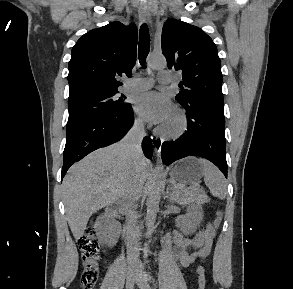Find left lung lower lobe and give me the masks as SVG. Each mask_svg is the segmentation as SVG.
<instances>
[{
  "instance_id": "1",
  "label": "left lung lower lobe",
  "mask_w": 293,
  "mask_h": 289,
  "mask_svg": "<svg viewBox=\"0 0 293 289\" xmlns=\"http://www.w3.org/2000/svg\"><path fill=\"white\" fill-rule=\"evenodd\" d=\"M188 129L180 138L162 144L166 165L186 156H199L214 163L227 178L223 106L204 100L182 105Z\"/></svg>"
}]
</instances>
